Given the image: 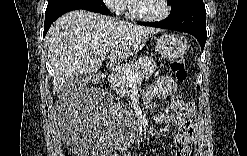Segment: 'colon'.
I'll return each mask as SVG.
<instances>
[{
  "label": "colon",
  "mask_w": 247,
  "mask_h": 156,
  "mask_svg": "<svg viewBox=\"0 0 247 156\" xmlns=\"http://www.w3.org/2000/svg\"><path fill=\"white\" fill-rule=\"evenodd\" d=\"M170 71L175 75L178 81H185L187 78V72L185 68V60L183 56L174 58L170 63ZM99 78L95 77L94 81H98Z\"/></svg>",
  "instance_id": "1"
}]
</instances>
